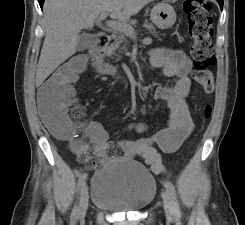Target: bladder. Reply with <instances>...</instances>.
Masks as SVG:
<instances>
[{"label": "bladder", "mask_w": 245, "mask_h": 225, "mask_svg": "<svg viewBox=\"0 0 245 225\" xmlns=\"http://www.w3.org/2000/svg\"><path fill=\"white\" fill-rule=\"evenodd\" d=\"M90 183L92 205L111 211H140L157 192L154 176L134 160H121L98 170Z\"/></svg>", "instance_id": "obj_1"}]
</instances>
